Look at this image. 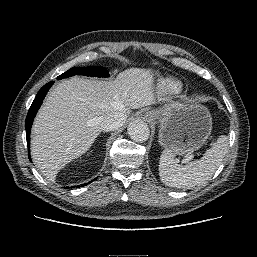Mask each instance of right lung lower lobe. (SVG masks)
Returning a JSON list of instances; mask_svg holds the SVG:
<instances>
[{
	"instance_id": "obj_1",
	"label": "right lung lower lobe",
	"mask_w": 257,
	"mask_h": 257,
	"mask_svg": "<svg viewBox=\"0 0 257 257\" xmlns=\"http://www.w3.org/2000/svg\"><path fill=\"white\" fill-rule=\"evenodd\" d=\"M54 82L51 81L47 84H45L37 93L36 98L34 99L29 111H28V115L26 117V121H25V128H26V139H27V145H28V152H30V131H31V126L33 123V119L38 111V109L40 108L42 101L47 93V91L49 90V88L52 86ZM29 159L30 158V154H29ZM92 182V181H91ZM86 185V184H84ZM82 185V186H84ZM77 187H80V185H78Z\"/></svg>"
}]
</instances>
